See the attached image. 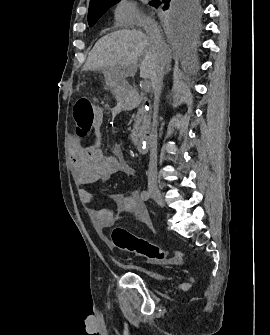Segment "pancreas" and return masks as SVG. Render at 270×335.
<instances>
[{"mask_svg":"<svg viewBox=\"0 0 270 335\" xmlns=\"http://www.w3.org/2000/svg\"><path fill=\"white\" fill-rule=\"evenodd\" d=\"M134 128L132 130V142H138V138L143 134H148L150 130V116L146 114L145 110H139L134 116Z\"/></svg>","mask_w":270,"mask_h":335,"instance_id":"obj_1","label":"pancreas"}]
</instances>
